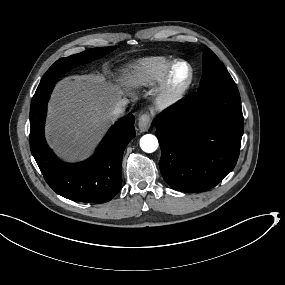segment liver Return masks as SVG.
I'll return each instance as SVG.
<instances>
[{
    "instance_id": "liver-1",
    "label": "liver",
    "mask_w": 285,
    "mask_h": 285,
    "mask_svg": "<svg viewBox=\"0 0 285 285\" xmlns=\"http://www.w3.org/2000/svg\"><path fill=\"white\" fill-rule=\"evenodd\" d=\"M125 94L100 73L60 80L48 103L45 126L58 156L70 162L87 158L113 124L111 113Z\"/></svg>"
}]
</instances>
